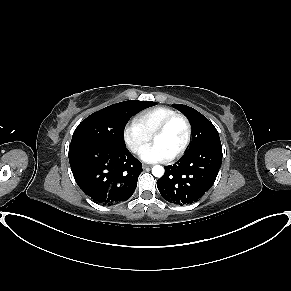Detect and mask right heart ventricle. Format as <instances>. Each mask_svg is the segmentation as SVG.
<instances>
[{"mask_svg": "<svg viewBox=\"0 0 291 291\" xmlns=\"http://www.w3.org/2000/svg\"><path fill=\"white\" fill-rule=\"evenodd\" d=\"M173 109L167 107H155L139 113L135 121L150 135L159 127V125L169 116L175 114Z\"/></svg>", "mask_w": 291, "mask_h": 291, "instance_id": "obj_1", "label": "right heart ventricle"}]
</instances>
